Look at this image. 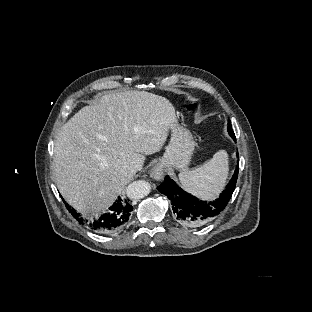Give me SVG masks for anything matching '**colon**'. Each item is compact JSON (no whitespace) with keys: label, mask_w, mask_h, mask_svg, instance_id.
I'll list each match as a JSON object with an SVG mask.
<instances>
[{"label":"colon","mask_w":312,"mask_h":312,"mask_svg":"<svg viewBox=\"0 0 312 312\" xmlns=\"http://www.w3.org/2000/svg\"><path fill=\"white\" fill-rule=\"evenodd\" d=\"M193 108V105H189V109L187 111H190Z\"/></svg>","instance_id":"colon-1"}]
</instances>
